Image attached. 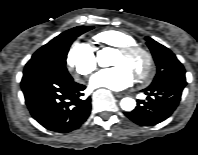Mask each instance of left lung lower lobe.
<instances>
[{"label":"left lung lower lobe","instance_id":"left-lung-lower-lobe-1","mask_svg":"<svg viewBox=\"0 0 198 155\" xmlns=\"http://www.w3.org/2000/svg\"><path fill=\"white\" fill-rule=\"evenodd\" d=\"M187 82L169 80L143 90L147 101L137 100V107L125 115L138 125L152 126L166 120L177 108Z\"/></svg>","mask_w":198,"mask_h":155}]
</instances>
